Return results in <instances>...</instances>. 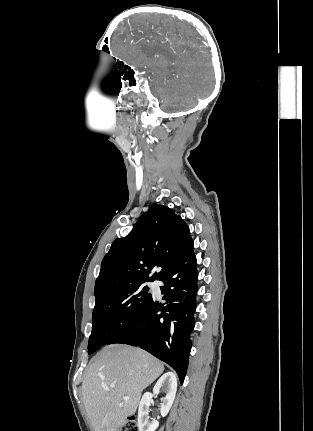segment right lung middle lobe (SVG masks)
Listing matches in <instances>:
<instances>
[{
    "mask_svg": "<svg viewBox=\"0 0 313 431\" xmlns=\"http://www.w3.org/2000/svg\"><path fill=\"white\" fill-rule=\"evenodd\" d=\"M148 286H133L96 301L88 351L92 354L127 328L153 300Z\"/></svg>",
    "mask_w": 313,
    "mask_h": 431,
    "instance_id": "right-lung-middle-lobe-1",
    "label": "right lung middle lobe"
}]
</instances>
